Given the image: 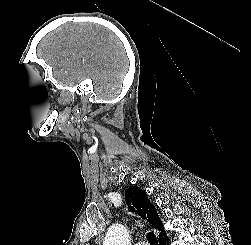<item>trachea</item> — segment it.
Returning <instances> with one entry per match:
<instances>
[{
  "instance_id": "trachea-1",
  "label": "trachea",
  "mask_w": 251,
  "mask_h": 245,
  "mask_svg": "<svg viewBox=\"0 0 251 245\" xmlns=\"http://www.w3.org/2000/svg\"><path fill=\"white\" fill-rule=\"evenodd\" d=\"M146 237L150 245H158L157 239L153 232H148Z\"/></svg>"
}]
</instances>
